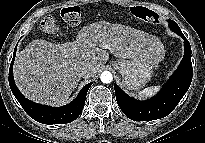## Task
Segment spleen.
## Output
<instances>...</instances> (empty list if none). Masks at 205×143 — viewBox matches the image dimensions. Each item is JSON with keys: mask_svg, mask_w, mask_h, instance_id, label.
<instances>
[{"mask_svg": "<svg viewBox=\"0 0 205 143\" xmlns=\"http://www.w3.org/2000/svg\"><path fill=\"white\" fill-rule=\"evenodd\" d=\"M161 89V86H152L140 91L138 95L142 98H150Z\"/></svg>", "mask_w": 205, "mask_h": 143, "instance_id": "3e777b00", "label": "spleen"}]
</instances>
